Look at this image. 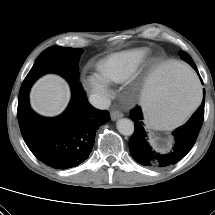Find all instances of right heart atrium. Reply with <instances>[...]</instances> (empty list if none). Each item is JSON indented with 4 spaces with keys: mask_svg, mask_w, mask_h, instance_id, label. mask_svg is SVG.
Returning <instances> with one entry per match:
<instances>
[{
    "mask_svg": "<svg viewBox=\"0 0 215 215\" xmlns=\"http://www.w3.org/2000/svg\"><path fill=\"white\" fill-rule=\"evenodd\" d=\"M84 84L96 101L100 103L105 102L111 94L108 81L97 73L87 75L84 79Z\"/></svg>",
    "mask_w": 215,
    "mask_h": 215,
    "instance_id": "d8ad5b80",
    "label": "right heart atrium"
}]
</instances>
